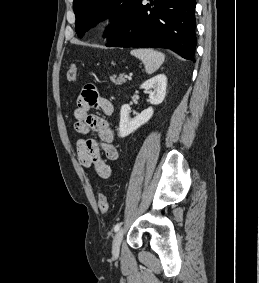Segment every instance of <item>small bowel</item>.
Wrapping results in <instances>:
<instances>
[{
	"label": "small bowel",
	"instance_id": "c3829d8e",
	"mask_svg": "<svg viewBox=\"0 0 259 283\" xmlns=\"http://www.w3.org/2000/svg\"><path fill=\"white\" fill-rule=\"evenodd\" d=\"M91 108H99L105 115L113 112L112 102L101 96L94 85L87 84L77 98L74 130L81 136L94 131L98 139L78 138L76 141L77 158L83 167L94 169L100 178L110 179L113 171L105 158L111 161L119 158V151L114 145V131L105 118L92 114Z\"/></svg>",
	"mask_w": 259,
	"mask_h": 283
}]
</instances>
